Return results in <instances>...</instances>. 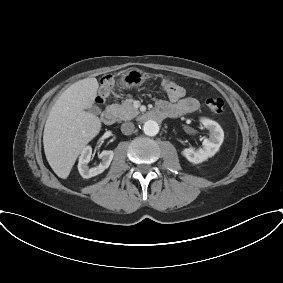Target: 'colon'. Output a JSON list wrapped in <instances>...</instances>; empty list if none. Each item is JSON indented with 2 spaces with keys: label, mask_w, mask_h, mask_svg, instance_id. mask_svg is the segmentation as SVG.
<instances>
[{
  "label": "colon",
  "mask_w": 283,
  "mask_h": 283,
  "mask_svg": "<svg viewBox=\"0 0 283 283\" xmlns=\"http://www.w3.org/2000/svg\"><path fill=\"white\" fill-rule=\"evenodd\" d=\"M113 87V76H108L103 79L97 101L103 103L110 95ZM162 87L168 97L178 99L183 96V88L176 82L170 79H164L162 81ZM206 107L214 114H220L224 109V101L220 97H208L205 99Z\"/></svg>",
  "instance_id": "5ec220e1"
}]
</instances>
